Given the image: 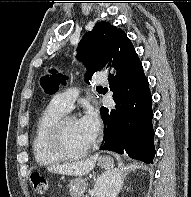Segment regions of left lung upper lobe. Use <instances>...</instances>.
<instances>
[{"label":"left lung upper lobe","mask_w":191,"mask_h":197,"mask_svg":"<svg viewBox=\"0 0 191 197\" xmlns=\"http://www.w3.org/2000/svg\"><path fill=\"white\" fill-rule=\"evenodd\" d=\"M77 54L80 60L87 64L88 76H92L108 61L112 62L117 72L137 70L142 67L134 46L125 32L108 22L95 24L93 30L83 36ZM51 72L53 75L50 78L42 77L40 80L41 86L49 94L55 93L60 82L65 81V77L61 74H54L55 70Z\"/></svg>","instance_id":"obj_1"}]
</instances>
